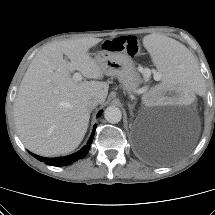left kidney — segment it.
I'll return each instance as SVG.
<instances>
[{"instance_id": "5707ae66", "label": "left kidney", "mask_w": 215, "mask_h": 215, "mask_svg": "<svg viewBox=\"0 0 215 215\" xmlns=\"http://www.w3.org/2000/svg\"><path fill=\"white\" fill-rule=\"evenodd\" d=\"M194 96L190 93H183V91L175 85H158L153 86L149 90L146 102L148 104H176L190 106Z\"/></svg>"}]
</instances>
